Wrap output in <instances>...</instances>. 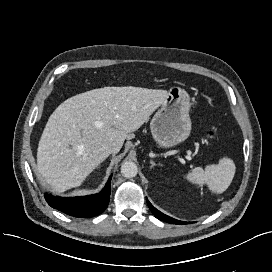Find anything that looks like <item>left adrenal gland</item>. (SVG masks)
Returning a JSON list of instances; mask_svg holds the SVG:
<instances>
[{"instance_id": "a2214340", "label": "left adrenal gland", "mask_w": 272, "mask_h": 272, "mask_svg": "<svg viewBox=\"0 0 272 272\" xmlns=\"http://www.w3.org/2000/svg\"><path fill=\"white\" fill-rule=\"evenodd\" d=\"M150 164H151V168H153L154 166H161L160 163L156 164L153 160H150Z\"/></svg>"}]
</instances>
